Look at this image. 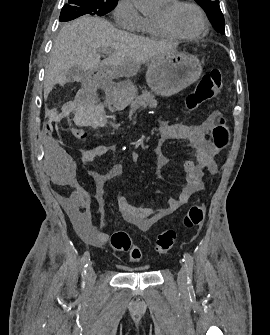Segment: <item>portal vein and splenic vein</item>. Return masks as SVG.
Wrapping results in <instances>:
<instances>
[{
    "label": "portal vein and splenic vein",
    "mask_w": 270,
    "mask_h": 335,
    "mask_svg": "<svg viewBox=\"0 0 270 335\" xmlns=\"http://www.w3.org/2000/svg\"><path fill=\"white\" fill-rule=\"evenodd\" d=\"M99 52H101V54H105V52H110V50H106L105 48H102L101 50H99ZM103 64L104 66H107V64H112V62H103Z\"/></svg>",
    "instance_id": "obj_1"
}]
</instances>
